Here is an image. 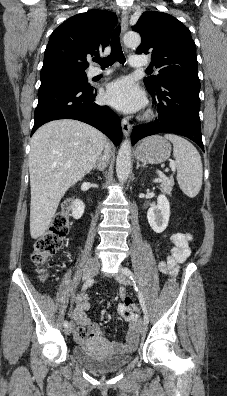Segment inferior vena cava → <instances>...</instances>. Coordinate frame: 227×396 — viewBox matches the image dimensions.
<instances>
[{
	"instance_id": "602c4592",
	"label": "inferior vena cava",
	"mask_w": 227,
	"mask_h": 396,
	"mask_svg": "<svg viewBox=\"0 0 227 396\" xmlns=\"http://www.w3.org/2000/svg\"><path fill=\"white\" fill-rule=\"evenodd\" d=\"M102 159L104 160V164H105V166H106V162H107V160L109 159V153H108V149H107V148H106L105 151H104V154H103V156H102Z\"/></svg>"
}]
</instances>
